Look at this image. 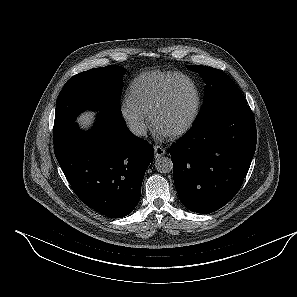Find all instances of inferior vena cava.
<instances>
[{"instance_id": "1", "label": "inferior vena cava", "mask_w": 297, "mask_h": 297, "mask_svg": "<svg viewBox=\"0 0 297 297\" xmlns=\"http://www.w3.org/2000/svg\"><path fill=\"white\" fill-rule=\"evenodd\" d=\"M130 131L137 136H145L147 134V128L142 121H133L129 123Z\"/></svg>"}]
</instances>
